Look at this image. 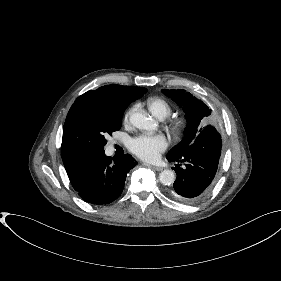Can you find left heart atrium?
<instances>
[{"label":"left heart atrium","instance_id":"1","mask_svg":"<svg viewBox=\"0 0 281 281\" xmlns=\"http://www.w3.org/2000/svg\"><path fill=\"white\" fill-rule=\"evenodd\" d=\"M129 148L139 158L153 162L166 150L167 141L162 135L143 134L132 138Z\"/></svg>","mask_w":281,"mask_h":281}]
</instances>
